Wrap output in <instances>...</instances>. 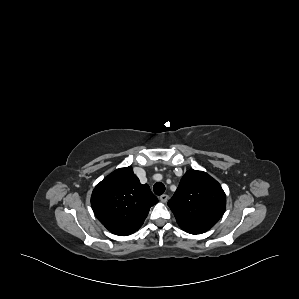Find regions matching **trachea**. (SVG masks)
Instances as JSON below:
<instances>
[{
    "mask_svg": "<svg viewBox=\"0 0 299 299\" xmlns=\"http://www.w3.org/2000/svg\"><path fill=\"white\" fill-rule=\"evenodd\" d=\"M153 190L156 195H162L165 192V185L161 182H157L154 184Z\"/></svg>",
    "mask_w": 299,
    "mask_h": 299,
    "instance_id": "trachea-1",
    "label": "trachea"
}]
</instances>
